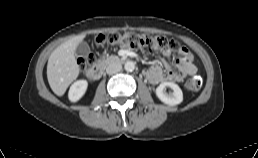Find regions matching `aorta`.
Masks as SVG:
<instances>
[{"mask_svg":"<svg viewBox=\"0 0 258 158\" xmlns=\"http://www.w3.org/2000/svg\"><path fill=\"white\" fill-rule=\"evenodd\" d=\"M124 68L128 72H132L135 69V63L133 61H127L124 65Z\"/></svg>","mask_w":258,"mask_h":158,"instance_id":"762f6f07","label":"aorta"}]
</instances>
